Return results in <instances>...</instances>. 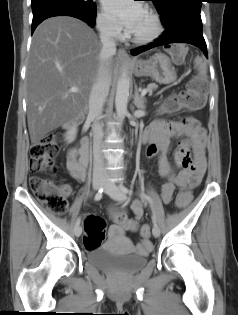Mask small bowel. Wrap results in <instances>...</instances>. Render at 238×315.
I'll use <instances>...</instances> for the list:
<instances>
[{"instance_id":"c3829d8e","label":"small bowel","mask_w":238,"mask_h":315,"mask_svg":"<svg viewBox=\"0 0 238 315\" xmlns=\"http://www.w3.org/2000/svg\"><path fill=\"white\" fill-rule=\"evenodd\" d=\"M181 135L184 140L175 151V161L182 170L175 172L167 158L171 149V138ZM140 140L147 143L146 155L149 158L156 157L158 173L166 181L162 185L161 196L165 203L172 200L176 188L183 192L188 191L200 183L206 170L205 146L207 135L204 128L194 118L179 120L175 125L158 121L150 124L141 134ZM188 149L193 152L194 161L190 165ZM79 158L76 157V148H72L67 162L68 173L76 180L83 181L86 178V169L90 161V150L86 139L79 142ZM70 185L59 188L60 194L67 197L71 194ZM191 193V192H190ZM134 218L126 219L123 224H113L109 228L111 236H120L128 231H136L144 214V205L141 200H134L131 204ZM152 248V242L145 238L136 247L137 253H147Z\"/></svg>"}]
</instances>
